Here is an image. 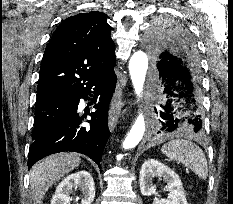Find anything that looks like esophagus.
<instances>
[{"mask_svg": "<svg viewBox=\"0 0 233 204\" xmlns=\"http://www.w3.org/2000/svg\"><path fill=\"white\" fill-rule=\"evenodd\" d=\"M123 95H122V89L120 85L118 84L113 96L110 112H109V129L112 131L120 116L122 115V108H123Z\"/></svg>", "mask_w": 233, "mask_h": 204, "instance_id": "esophagus-1", "label": "esophagus"}]
</instances>
